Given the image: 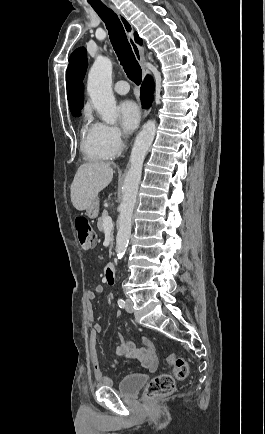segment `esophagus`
Returning <instances> with one entry per match:
<instances>
[{"mask_svg":"<svg viewBox=\"0 0 265 434\" xmlns=\"http://www.w3.org/2000/svg\"><path fill=\"white\" fill-rule=\"evenodd\" d=\"M111 8H113L114 12L118 15V18L120 19V22L122 23L124 30L126 32V35L128 37L129 44L131 45V48L133 50V53L135 55L136 60L142 65V70L144 76L150 75V71L147 69V67L144 66V54L142 51V48L135 42L134 40V28L133 25L130 23V21L123 15V13L118 10L114 5H110ZM150 109H144L143 116L146 118L148 114L150 113Z\"/></svg>","mask_w":265,"mask_h":434,"instance_id":"obj_1","label":"esophagus"}]
</instances>
